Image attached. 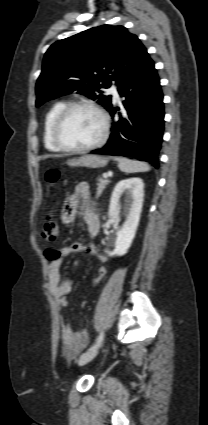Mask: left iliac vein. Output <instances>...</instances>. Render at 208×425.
Segmentation results:
<instances>
[{"label": "left iliac vein", "instance_id": "4c4485c4", "mask_svg": "<svg viewBox=\"0 0 208 425\" xmlns=\"http://www.w3.org/2000/svg\"><path fill=\"white\" fill-rule=\"evenodd\" d=\"M98 351H99V347L91 349V350L83 353L78 359V364L84 365V364L90 362L93 358H95Z\"/></svg>", "mask_w": 208, "mask_h": 425}]
</instances>
